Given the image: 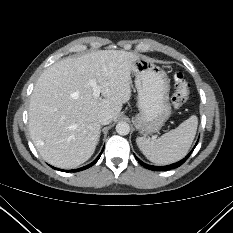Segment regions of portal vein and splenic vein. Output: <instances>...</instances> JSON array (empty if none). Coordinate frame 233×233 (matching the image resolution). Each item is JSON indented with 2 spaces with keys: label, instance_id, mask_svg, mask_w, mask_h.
I'll return each mask as SVG.
<instances>
[{
  "label": "portal vein and splenic vein",
  "instance_id": "portal-vein-and-splenic-vein-1",
  "mask_svg": "<svg viewBox=\"0 0 233 233\" xmlns=\"http://www.w3.org/2000/svg\"><path fill=\"white\" fill-rule=\"evenodd\" d=\"M89 85L92 87L94 97L98 98L100 96V93H101V88L97 84L96 80L95 79H91L89 81Z\"/></svg>",
  "mask_w": 233,
  "mask_h": 233
}]
</instances>
